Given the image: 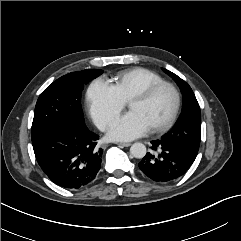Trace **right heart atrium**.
Here are the masks:
<instances>
[{
  "label": "right heart atrium",
  "mask_w": 241,
  "mask_h": 241,
  "mask_svg": "<svg viewBox=\"0 0 241 241\" xmlns=\"http://www.w3.org/2000/svg\"><path fill=\"white\" fill-rule=\"evenodd\" d=\"M86 97L90 115L101 130L106 129L125 107L115 87L101 78L89 85Z\"/></svg>",
  "instance_id": "d8ad5b80"
}]
</instances>
